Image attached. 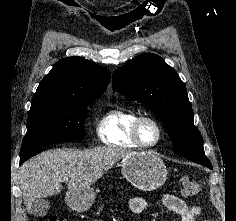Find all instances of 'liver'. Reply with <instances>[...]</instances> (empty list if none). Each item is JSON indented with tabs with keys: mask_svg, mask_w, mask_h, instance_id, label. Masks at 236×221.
<instances>
[{
	"mask_svg": "<svg viewBox=\"0 0 236 221\" xmlns=\"http://www.w3.org/2000/svg\"><path fill=\"white\" fill-rule=\"evenodd\" d=\"M130 153V150L114 146L42 152L25 162L19 170V184L27 212L31 213L34 200L60 193L65 178L68 179V192L89 188Z\"/></svg>",
	"mask_w": 236,
	"mask_h": 221,
	"instance_id": "1",
	"label": "liver"
}]
</instances>
